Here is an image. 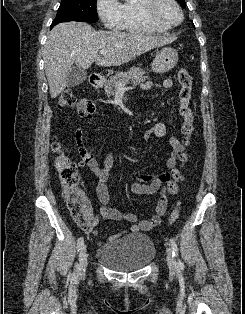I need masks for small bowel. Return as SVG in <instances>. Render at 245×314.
I'll use <instances>...</instances> for the list:
<instances>
[{
  "label": "small bowel",
  "instance_id": "small-bowel-1",
  "mask_svg": "<svg viewBox=\"0 0 245 314\" xmlns=\"http://www.w3.org/2000/svg\"><path fill=\"white\" fill-rule=\"evenodd\" d=\"M143 89H151L157 87L160 89H169L173 86L171 79H165L161 84H156L151 81L142 83ZM95 111L94 103L89 99H81L77 105L78 114L87 121L92 119L93 113ZM167 135V126L163 122H156L153 126L149 127L144 132V139L149 140L152 137L164 138ZM76 143L78 146L79 153L82 157L83 163L88 167V169L96 174L99 178V183L96 188V194L101 202L102 206L100 209V214L104 219L112 221H126L132 223L131 230L133 232H144L149 231L156 227L161 222V217L165 213L167 207V201L162 197L157 205L156 213L149 216L148 218L137 222V215L134 213H123L115 208L109 207L110 196L108 192V187L106 181L109 178V172L114 165V155L108 153L104 159V165L101 167L97 160L95 159L94 152L84 145L83 133L80 129L76 132ZM168 143L171 147L170 154L165 161V165L168 169L172 170L177 165V160L184 150L181 138L177 136H171L168 139ZM171 179L170 172H163L156 175H145L141 174L137 177V181L132 183L130 186V191L137 195H152L155 194L163 183L169 182ZM86 211L89 219L92 223V227L88 230V233L99 237V233L95 226L97 224V219L93 215L90 202L85 197ZM126 231H121L117 234L111 235L106 238L105 242H112L121 236L125 235Z\"/></svg>",
  "mask_w": 245,
  "mask_h": 314
}]
</instances>
